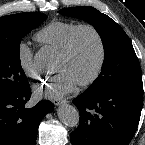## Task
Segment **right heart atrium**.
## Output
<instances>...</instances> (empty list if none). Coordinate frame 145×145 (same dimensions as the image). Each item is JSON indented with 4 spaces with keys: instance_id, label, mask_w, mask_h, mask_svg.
Instances as JSON below:
<instances>
[{
    "instance_id": "obj_1",
    "label": "right heart atrium",
    "mask_w": 145,
    "mask_h": 145,
    "mask_svg": "<svg viewBox=\"0 0 145 145\" xmlns=\"http://www.w3.org/2000/svg\"><path fill=\"white\" fill-rule=\"evenodd\" d=\"M17 60L22 72L32 78L38 79L40 72L33 59L31 47L26 42H21L17 48Z\"/></svg>"
}]
</instances>
